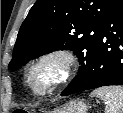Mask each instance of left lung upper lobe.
Returning a JSON list of instances; mask_svg holds the SVG:
<instances>
[{"mask_svg": "<svg viewBox=\"0 0 123 113\" xmlns=\"http://www.w3.org/2000/svg\"><path fill=\"white\" fill-rule=\"evenodd\" d=\"M112 1L37 0L19 30L8 68L17 70L37 56L71 50L78 56L81 67L66 89L81 82Z\"/></svg>", "mask_w": 123, "mask_h": 113, "instance_id": "1", "label": "left lung upper lobe"}]
</instances>
